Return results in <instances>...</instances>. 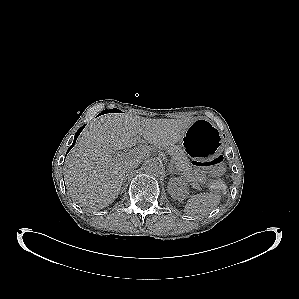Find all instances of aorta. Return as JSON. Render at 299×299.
<instances>
[{"label":"aorta","instance_id":"762f6f07","mask_svg":"<svg viewBox=\"0 0 299 299\" xmlns=\"http://www.w3.org/2000/svg\"><path fill=\"white\" fill-rule=\"evenodd\" d=\"M144 170L147 174L158 176L164 172V166L161 161L152 159L145 163Z\"/></svg>","mask_w":299,"mask_h":299}]
</instances>
